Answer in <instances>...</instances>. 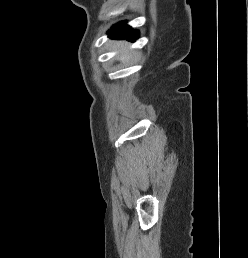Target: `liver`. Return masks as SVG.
<instances>
[{"mask_svg": "<svg viewBox=\"0 0 248 258\" xmlns=\"http://www.w3.org/2000/svg\"><path fill=\"white\" fill-rule=\"evenodd\" d=\"M127 58H129V54H127V53L122 54V55L120 56V59H121L122 61L126 60Z\"/></svg>", "mask_w": 248, "mask_h": 258, "instance_id": "1", "label": "liver"}]
</instances>
